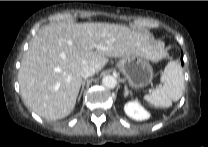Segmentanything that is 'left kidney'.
I'll return each mask as SVG.
<instances>
[{
  "label": "left kidney",
  "mask_w": 208,
  "mask_h": 147,
  "mask_svg": "<svg viewBox=\"0 0 208 147\" xmlns=\"http://www.w3.org/2000/svg\"><path fill=\"white\" fill-rule=\"evenodd\" d=\"M124 111L130 118L143 121L150 117L149 112H147L138 101H130L125 104Z\"/></svg>",
  "instance_id": "obj_1"
}]
</instances>
